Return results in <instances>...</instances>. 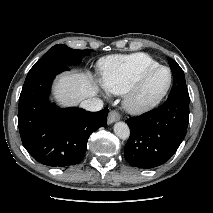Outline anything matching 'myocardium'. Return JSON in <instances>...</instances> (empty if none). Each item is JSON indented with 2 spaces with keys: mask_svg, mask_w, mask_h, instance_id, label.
<instances>
[{
  "mask_svg": "<svg viewBox=\"0 0 213 213\" xmlns=\"http://www.w3.org/2000/svg\"><path fill=\"white\" fill-rule=\"evenodd\" d=\"M166 70L169 74L166 86L156 95L143 98L142 90L148 79L159 70ZM173 82V74L168 66L158 65L144 72L137 81L126 91L123 104L132 114H142L156 107L168 94Z\"/></svg>",
  "mask_w": 213,
  "mask_h": 213,
  "instance_id": "obj_1",
  "label": "myocardium"
}]
</instances>
